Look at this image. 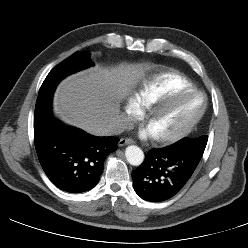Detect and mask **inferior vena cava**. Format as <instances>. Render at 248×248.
I'll return each mask as SVG.
<instances>
[{
    "label": "inferior vena cava",
    "instance_id": "1",
    "mask_svg": "<svg viewBox=\"0 0 248 248\" xmlns=\"http://www.w3.org/2000/svg\"><path fill=\"white\" fill-rule=\"evenodd\" d=\"M132 123L130 122L127 116L121 114L118 115L114 123L107 129L105 135H118L124 132L125 130L131 127Z\"/></svg>",
    "mask_w": 248,
    "mask_h": 248
}]
</instances>
